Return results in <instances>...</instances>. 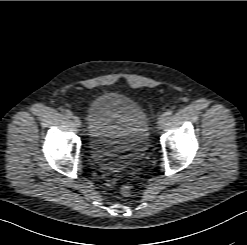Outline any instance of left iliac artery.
Returning a JSON list of instances; mask_svg holds the SVG:
<instances>
[{
  "label": "left iliac artery",
  "instance_id": "obj_1",
  "mask_svg": "<svg viewBox=\"0 0 247 245\" xmlns=\"http://www.w3.org/2000/svg\"><path fill=\"white\" fill-rule=\"evenodd\" d=\"M173 111L172 110H167L164 114L163 117L165 119L169 118L172 115Z\"/></svg>",
  "mask_w": 247,
  "mask_h": 245
}]
</instances>
